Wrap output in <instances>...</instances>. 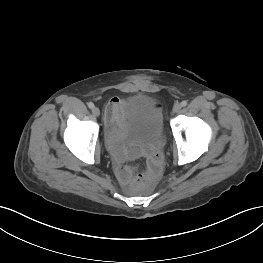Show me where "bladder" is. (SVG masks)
I'll list each match as a JSON object with an SVG mask.
<instances>
[{"label": "bladder", "instance_id": "bladder-1", "mask_svg": "<svg viewBox=\"0 0 263 263\" xmlns=\"http://www.w3.org/2000/svg\"><path fill=\"white\" fill-rule=\"evenodd\" d=\"M162 130V111L151 97L139 94L124 103L121 132L128 140L149 144L161 135Z\"/></svg>", "mask_w": 263, "mask_h": 263}]
</instances>
